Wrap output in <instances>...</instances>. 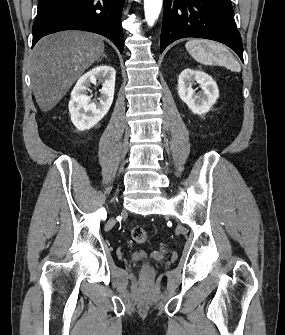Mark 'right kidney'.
I'll list each match as a JSON object with an SVG mask.
<instances>
[{
    "label": "right kidney",
    "mask_w": 285,
    "mask_h": 335,
    "mask_svg": "<svg viewBox=\"0 0 285 335\" xmlns=\"http://www.w3.org/2000/svg\"><path fill=\"white\" fill-rule=\"evenodd\" d=\"M115 76L116 72L111 66H96L79 78L69 102L71 122L77 130H90L109 112L114 98ZM96 80L103 82V88L99 90V102H92L86 94L90 84H96Z\"/></svg>",
    "instance_id": "obj_1"
}]
</instances>
